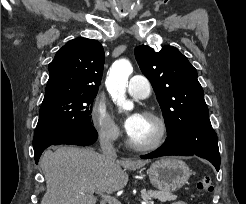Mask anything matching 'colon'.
I'll return each mask as SVG.
<instances>
[{"mask_svg":"<svg viewBox=\"0 0 246 204\" xmlns=\"http://www.w3.org/2000/svg\"><path fill=\"white\" fill-rule=\"evenodd\" d=\"M197 188L200 191H211L213 189L211 178L208 176L201 177L197 182Z\"/></svg>","mask_w":246,"mask_h":204,"instance_id":"colon-1","label":"colon"}]
</instances>
